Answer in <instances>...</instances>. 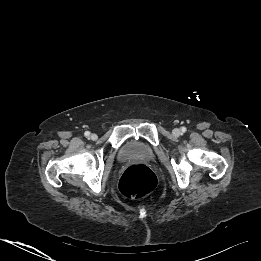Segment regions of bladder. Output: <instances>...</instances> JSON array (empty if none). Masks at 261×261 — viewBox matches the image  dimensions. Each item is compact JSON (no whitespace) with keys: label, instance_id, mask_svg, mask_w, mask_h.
<instances>
[{"label":"bladder","instance_id":"31cf9c89","mask_svg":"<svg viewBox=\"0 0 261 261\" xmlns=\"http://www.w3.org/2000/svg\"><path fill=\"white\" fill-rule=\"evenodd\" d=\"M121 159H142L150 160L153 157V149L140 142H130L124 146L120 154Z\"/></svg>","mask_w":261,"mask_h":261}]
</instances>
